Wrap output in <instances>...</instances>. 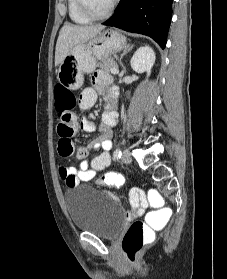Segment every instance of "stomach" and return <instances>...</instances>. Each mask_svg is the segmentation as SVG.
Segmentation results:
<instances>
[{
	"instance_id": "obj_1",
	"label": "stomach",
	"mask_w": 227,
	"mask_h": 279,
	"mask_svg": "<svg viewBox=\"0 0 227 279\" xmlns=\"http://www.w3.org/2000/svg\"><path fill=\"white\" fill-rule=\"evenodd\" d=\"M127 39L115 30L107 29L94 38L80 43L65 56L57 70L59 83L67 89L77 90L84 82V74L92 73L97 60H106L121 51Z\"/></svg>"
}]
</instances>
